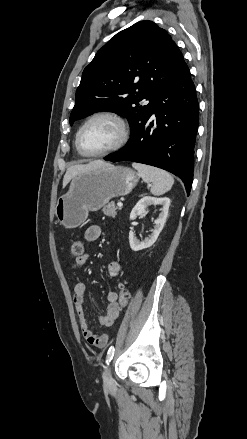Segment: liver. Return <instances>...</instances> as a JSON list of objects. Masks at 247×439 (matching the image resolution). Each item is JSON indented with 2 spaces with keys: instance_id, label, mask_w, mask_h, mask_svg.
Returning <instances> with one entry per match:
<instances>
[{
  "instance_id": "liver-1",
  "label": "liver",
  "mask_w": 247,
  "mask_h": 439,
  "mask_svg": "<svg viewBox=\"0 0 247 439\" xmlns=\"http://www.w3.org/2000/svg\"><path fill=\"white\" fill-rule=\"evenodd\" d=\"M108 165H110V164L106 163L103 160H94V161H91L87 164H78V165L70 166L67 169L66 174L64 175V178H63V188H65L67 186V184L70 182V180H72L75 176L89 172V171H93L95 169L105 167Z\"/></svg>"
}]
</instances>
